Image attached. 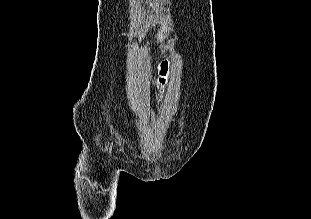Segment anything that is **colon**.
<instances>
[{
  "mask_svg": "<svg viewBox=\"0 0 311 219\" xmlns=\"http://www.w3.org/2000/svg\"><path fill=\"white\" fill-rule=\"evenodd\" d=\"M167 70H168V63L165 62L161 65L160 70H159V74H160L159 82L162 83L165 81V76L167 74Z\"/></svg>",
  "mask_w": 311,
  "mask_h": 219,
  "instance_id": "1",
  "label": "colon"
}]
</instances>
